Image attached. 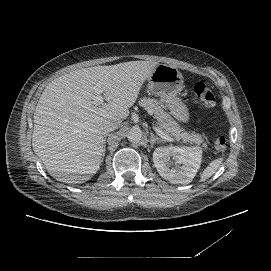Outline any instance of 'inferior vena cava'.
I'll use <instances>...</instances> for the list:
<instances>
[{
	"instance_id": "602c4592",
	"label": "inferior vena cava",
	"mask_w": 271,
	"mask_h": 271,
	"mask_svg": "<svg viewBox=\"0 0 271 271\" xmlns=\"http://www.w3.org/2000/svg\"><path fill=\"white\" fill-rule=\"evenodd\" d=\"M120 123H121L120 121L111 120V121H108L107 123L103 124L101 127L102 134L107 135L111 131L116 130L119 127Z\"/></svg>"
}]
</instances>
